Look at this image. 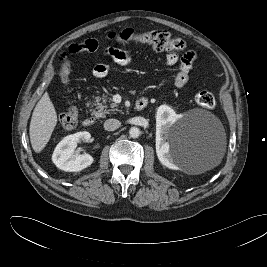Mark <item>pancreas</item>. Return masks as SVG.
<instances>
[{"instance_id": "cf45deb5", "label": "pancreas", "mask_w": 267, "mask_h": 267, "mask_svg": "<svg viewBox=\"0 0 267 267\" xmlns=\"http://www.w3.org/2000/svg\"><path fill=\"white\" fill-rule=\"evenodd\" d=\"M107 98L106 96L103 97H96L93 103L96 106V111H93V114L97 118H105L107 114H114L118 112V105L116 103H111L110 108L106 105Z\"/></svg>"}]
</instances>
